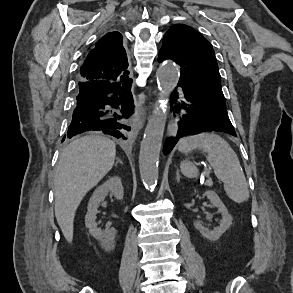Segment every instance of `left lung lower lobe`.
Returning <instances> with one entry per match:
<instances>
[{
  "instance_id": "1",
  "label": "left lung lower lobe",
  "mask_w": 293,
  "mask_h": 293,
  "mask_svg": "<svg viewBox=\"0 0 293 293\" xmlns=\"http://www.w3.org/2000/svg\"><path fill=\"white\" fill-rule=\"evenodd\" d=\"M178 86L181 92H173L170 97L171 110L179 119L178 130L175 137H170L166 141L163 149L165 155L173 149L180 138L188 135L223 131L236 136L225 103L207 100L189 88Z\"/></svg>"
}]
</instances>
